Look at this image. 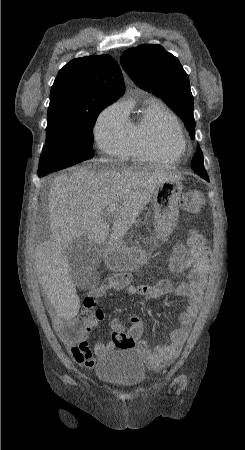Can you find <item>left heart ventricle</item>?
Instances as JSON below:
<instances>
[{"label": "left heart ventricle", "instance_id": "obj_1", "mask_svg": "<svg viewBox=\"0 0 245 450\" xmlns=\"http://www.w3.org/2000/svg\"><path fill=\"white\" fill-rule=\"evenodd\" d=\"M159 129L164 131L165 136L173 144L174 148L176 150H179L180 149V143H179V141L176 138V134H175V131H174L172 125L169 122L163 120L159 124Z\"/></svg>", "mask_w": 245, "mask_h": 450}]
</instances>
